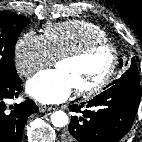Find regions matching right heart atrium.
Here are the masks:
<instances>
[{"instance_id": "d8ad5b80", "label": "right heart atrium", "mask_w": 142, "mask_h": 142, "mask_svg": "<svg viewBox=\"0 0 142 142\" xmlns=\"http://www.w3.org/2000/svg\"><path fill=\"white\" fill-rule=\"evenodd\" d=\"M14 60L18 73L24 77L54 62L43 37L32 31L26 32L16 41Z\"/></svg>"}]
</instances>
